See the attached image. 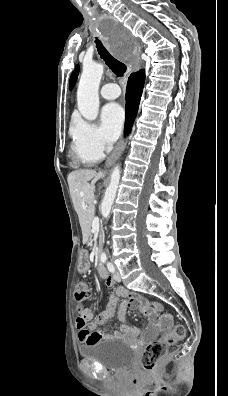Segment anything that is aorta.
<instances>
[{
	"instance_id": "aorta-1",
	"label": "aorta",
	"mask_w": 228,
	"mask_h": 396,
	"mask_svg": "<svg viewBox=\"0 0 228 396\" xmlns=\"http://www.w3.org/2000/svg\"><path fill=\"white\" fill-rule=\"evenodd\" d=\"M104 66L100 63L85 64L77 90V103L81 115L87 120H95L99 111L98 90ZM120 180V166L116 165L111 173L110 184L101 204L103 218L110 216Z\"/></svg>"
}]
</instances>
